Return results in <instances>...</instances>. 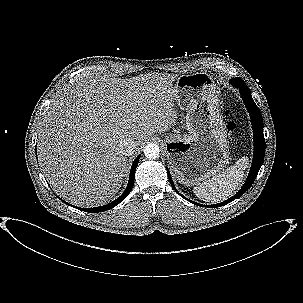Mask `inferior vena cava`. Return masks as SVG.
Instances as JSON below:
<instances>
[{"label":"inferior vena cava","mask_w":303,"mask_h":303,"mask_svg":"<svg viewBox=\"0 0 303 303\" xmlns=\"http://www.w3.org/2000/svg\"><path fill=\"white\" fill-rule=\"evenodd\" d=\"M136 142L131 138L124 139L120 144V149L126 156L132 155L136 150Z\"/></svg>","instance_id":"inferior-vena-cava-1"}]
</instances>
